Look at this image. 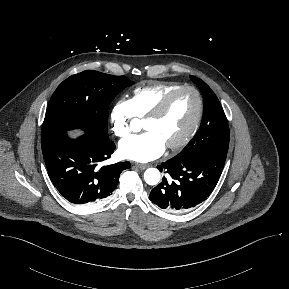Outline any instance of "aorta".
<instances>
[{"label":"aorta","instance_id":"762f6f07","mask_svg":"<svg viewBox=\"0 0 289 289\" xmlns=\"http://www.w3.org/2000/svg\"><path fill=\"white\" fill-rule=\"evenodd\" d=\"M160 172L156 168H149L144 173V180L148 185H156L160 181Z\"/></svg>","mask_w":289,"mask_h":289}]
</instances>
